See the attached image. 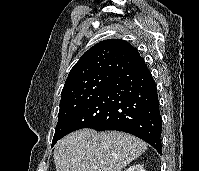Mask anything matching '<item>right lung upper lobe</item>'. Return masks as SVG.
Here are the masks:
<instances>
[{"instance_id":"cb5924a9","label":"right lung upper lobe","mask_w":199,"mask_h":171,"mask_svg":"<svg viewBox=\"0 0 199 171\" xmlns=\"http://www.w3.org/2000/svg\"><path fill=\"white\" fill-rule=\"evenodd\" d=\"M138 50L120 39L101 41L86 51L71 69L63 92L100 74L117 75L121 71L143 62Z\"/></svg>"}]
</instances>
